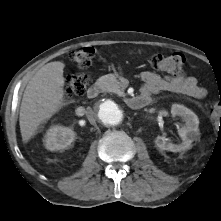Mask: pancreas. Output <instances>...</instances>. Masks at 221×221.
I'll use <instances>...</instances> for the list:
<instances>
[{"label": "pancreas", "mask_w": 221, "mask_h": 221, "mask_svg": "<svg viewBox=\"0 0 221 221\" xmlns=\"http://www.w3.org/2000/svg\"><path fill=\"white\" fill-rule=\"evenodd\" d=\"M97 85L103 92L119 93L121 92L120 82L113 74H107L97 80Z\"/></svg>", "instance_id": "1"}]
</instances>
